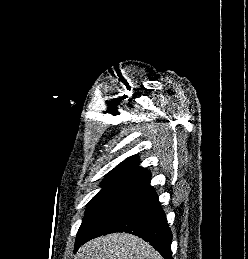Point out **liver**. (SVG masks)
Here are the masks:
<instances>
[{
    "label": "liver",
    "mask_w": 248,
    "mask_h": 259,
    "mask_svg": "<svg viewBox=\"0 0 248 259\" xmlns=\"http://www.w3.org/2000/svg\"><path fill=\"white\" fill-rule=\"evenodd\" d=\"M76 259H163L143 239L126 233H114L82 245Z\"/></svg>",
    "instance_id": "6515ba94"
}]
</instances>
